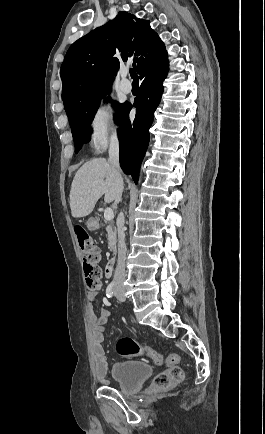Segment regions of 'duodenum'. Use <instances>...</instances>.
<instances>
[{"label": "duodenum", "instance_id": "1", "mask_svg": "<svg viewBox=\"0 0 265 434\" xmlns=\"http://www.w3.org/2000/svg\"><path fill=\"white\" fill-rule=\"evenodd\" d=\"M116 265L115 259H110L105 266V275L111 277L113 275L114 267Z\"/></svg>", "mask_w": 265, "mask_h": 434}]
</instances>
